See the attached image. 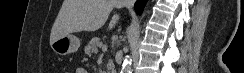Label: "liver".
Returning <instances> with one entry per match:
<instances>
[{
	"label": "liver",
	"instance_id": "1",
	"mask_svg": "<svg viewBox=\"0 0 244 73\" xmlns=\"http://www.w3.org/2000/svg\"><path fill=\"white\" fill-rule=\"evenodd\" d=\"M121 0H64L50 34V45L55 40L74 32L96 31L107 21ZM119 15H114L108 29L115 27Z\"/></svg>",
	"mask_w": 244,
	"mask_h": 73
}]
</instances>
